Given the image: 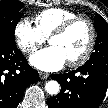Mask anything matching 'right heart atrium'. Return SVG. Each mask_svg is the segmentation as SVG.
<instances>
[{"instance_id":"d8ad5b80","label":"right heart atrium","mask_w":108,"mask_h":108,"mask_svg":"<svg viewBox=\"0 0 108 108\" xmlns=\"http://www.w3.org/2000/svg\"><path fill=\"white\" fill-rule=\"evenodd\" d=\"M14 38L18 48L27 54H32L45 42V37L28 19H21L16 24Z\"/></svg>"}]
</instances>
